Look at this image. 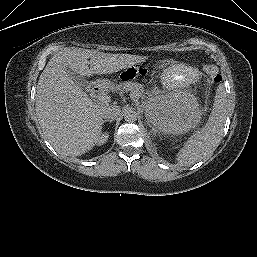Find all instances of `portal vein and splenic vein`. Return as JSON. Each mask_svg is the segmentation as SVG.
<instances>
[{
  "label": "portal vein and splenic vein",
  "instance_id": "18ae733b",
  "mask_svg": "<svg viewBox=\"0 0 257 257\" xmlns=\"http://www.w3.org/2000/svg\"><path fill=\"white\" fill-rule=\"evenodd\" d=\"M99 101L102 102V103H107L109 101V99L105 96H101Z\"/></svg>",
  "mask_w": 257,
  "mask_h": 257
}]
</instances>
